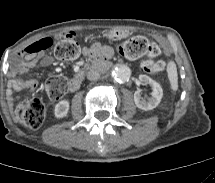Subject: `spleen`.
I'll return each instance as SVG.
<instances>
[{"label":"spleen","instance_id":"spleen-1","mask_svg":"<svg viewBox=\"0 0 215 183\" xmlns=\"http://www.w3.org/2000/svg\"><path fill=\"white\" fill-rule=\"evenodd\" d=\"M167 72L171 89L176 92L178 90V75L176 65L173 62L169 63Z\"/></svg>","mask_w":215,"mask_h":183}]
</instances>
